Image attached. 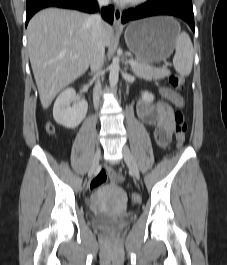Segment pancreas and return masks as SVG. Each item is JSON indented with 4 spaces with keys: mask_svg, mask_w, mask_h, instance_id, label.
<instances>
[{
    "mask_svg": "<svg viewBox=\"0 0 227 265\" xmlns=\"http://www.w3.org/2000/svg\"><path fill=\"white\" fill-rule=\"evenodd\" d=\"M138 65H133L132 69L136 76L143 77L146 79H163L169 76L171 72L167 68H155L147 65L145 62L136 59Z\"/></svg>",
    "mask_w": 227,
    "mask_h": 265,
    "instance_id": "cf45deb5",
    "label": "pancreas"
}]
</instances>
